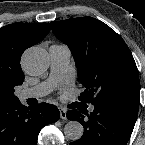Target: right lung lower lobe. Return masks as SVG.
<instances>
[{
    "label": "right lung lower lobe",
    "mask_w": 145,
    "mask_h": 145,
    "mask_svg": "<svg viewBox=\"0 0 145 145\" xmlns=\"http://www.w3.org/2000/svg\"><path fill=\"white\" fill-rule=\"evenodd\" d=\"M60 113L56 106L40 103L26 108L20 101L0 106V145H37L42 127L54 123Z\"/></svg>",
    "instance_id": "right-lung-lower-lobe-1"
}]
</instances>
